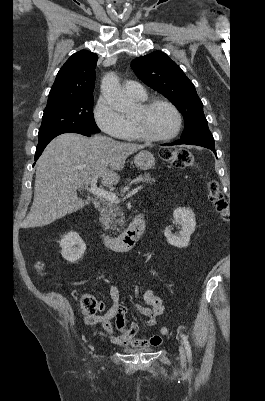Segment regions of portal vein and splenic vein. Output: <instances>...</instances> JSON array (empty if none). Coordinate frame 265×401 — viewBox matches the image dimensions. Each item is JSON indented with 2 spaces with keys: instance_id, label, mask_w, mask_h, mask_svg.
<instances>
[{
  "instance_id": "portal-vein-and-splenic-vein-1",
  "label": "portal vein and splenic vein",
  "mask_w": 265,
  "mask_h": 401,
  "mask_svg": "<svg viewBox=\"0 0 265 401\" xmlns=\"http://www.w3.org/2000/svg\"><path fill=\"white\" fill-rule=\"evenodd\" d=\"M97 180H98V176H94V178H92L91 186H88V188H86V190H89V192H93V194H97V196H104V198H106V201H111V203H120L118 196H116V194H114V192H109V190H103V188H97V186H96ZM142 188H143V185L139 184L133 190H131L130 192H127L126 196H124V198H128L130 196L134 197L135 193H137L138 191H141Z\"/></svg>"
}]
</instances>
